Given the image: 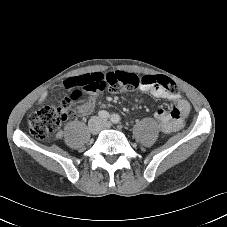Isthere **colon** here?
Returning <instances> with one entry per match:
<instances>
[{"mask_svg": "<svg viewBox=\"0 0 227 227\" xmlns=\"http://www.w3.org/2000/svg\"><path fill=\"white\" fill-rule=\"evenodd\" d=\"M84 76V75H83ZM110 93L132 91L141 85H159L170 93H177V84L167 76L144 75L139 77L132 73L116 71L107 73ZM71 93L64 97L57 106H45L29 116L28 123L32 136L45 140L51 133L68 119L73 118L80 109L77 103L85 93L81 89H69Z\"/></svg>", "mask_w": 227, "mask_h": 227, "instance_id": "colon-1", "label": "colon"}]
</instances>
